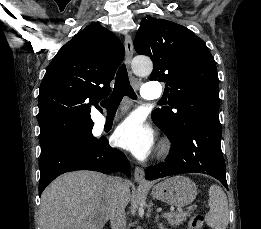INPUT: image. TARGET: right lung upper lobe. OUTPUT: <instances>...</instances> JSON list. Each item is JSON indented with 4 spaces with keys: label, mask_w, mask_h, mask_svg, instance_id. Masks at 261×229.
Returning a JSON list of instances; mask_svg holds the SVG:
<instances>
[{
    "label": "right lung upper lobe",
    "mask_w": 261,
    "mask_h": 229,
    "mask_svg": "<svg viewBox=\"0 0 261 229\" xmlns=\"http://www.w3.org/2000/svg\"><path fill=\"white\" fill-rule=\"evenodd\" d=\"M123 57L121 41L99 23L87 26L58 51L40 85L41 147H58L92 131L88 107L111 92L109 83Z\"/></svg>",
    "instance_id": "right-lung-upper-lobe-1"
}]
</instances>
